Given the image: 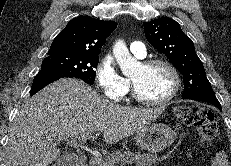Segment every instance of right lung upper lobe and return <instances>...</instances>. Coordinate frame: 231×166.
I'll return each instance as SVG.
<instances>
[{
    "mask_svg": "<svg viewBox=\"0 0 231 166\" xmlns=\"http://www.w3.org/2000/svg\"><path fill=\"white\" fill-rule=\"evenodd\" d=\"M116 27L117 23L114 21H103L87 16L76 17L55 37L48 53L99 55L106 38Z\"/></svg>",
    "mask_w": 231,
    "mask_h": 166,
    "instance_id": "right-lung-upper-lobe-1",
    "label": "right lung upper lobe"
}]
</instances>
